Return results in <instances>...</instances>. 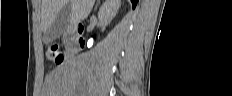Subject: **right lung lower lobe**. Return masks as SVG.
Instances as JSON below:
<instances>
[{
  "label": "right lung lower lobe",
  "mask_w": 232,
  "mask_h": 96,
  "mask_svg": "<svg viewBox=\"0 0 232 96\" xmlns=\"http://www.w3.org/2000/svg\"><path fill=\"white\" fill-rule=\"evenodd\" d=\"M131 2H132V5H133V8H135V6H136L138 0H131Z\"/></svg>",
  "instance_id": "obj_1"
}]
</instances>
